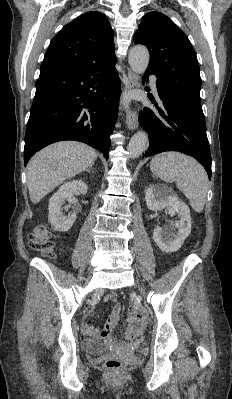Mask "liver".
I'll return each mask as SVG.
<instances>
[{"instance_id": "6515ba94", "label": "liver", "mask_w": 232, "mask_h": 399, "mask_svg": "<svg viewBox=\"0 0 232 399\" xmlns=\"http://www.w3.org/2000/svg\"><path fill=\"white\" fill-rule=\"evenodd\" d=\"M97 160L95 150L80 142H58L31 158L27 166L30 200L38 203L65 180H72Z\"/></svg>"}]
</instances>
